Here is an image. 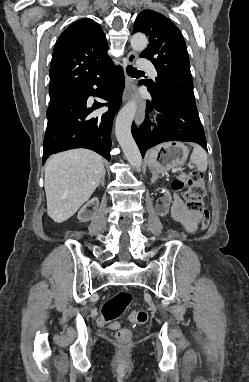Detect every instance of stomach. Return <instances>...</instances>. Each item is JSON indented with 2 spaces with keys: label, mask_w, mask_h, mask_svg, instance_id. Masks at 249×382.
Returning a JSON list of instances; mask_svg holds the SVG:
<instances>
[{
  "label": "stomach",
  "mask_w": 249,
  "mask_h": 382,
  "mask_svg": "<svg viewBox=\"0 0 249 382\" xmlns=\"http://www.w3.org/2000/svg\"><path fill=\"white\" fill-rule=\"evenodd\" d=\"M188 155V148L181 142L163 143L149 150L148 166L154 172L164 174L183 165Z\"/></svg>",
  "instance_id": "obj_1"
}]
</instances>
